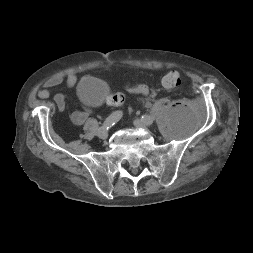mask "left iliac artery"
I'll use <instances>...</instances> for the list:
<instances>
[{
	"instance_id": "left-iliac-artery-1",
	"label": "left iliac artery",
	"mask_w": 253,
	"mask_h": 253,
	"mask_svg": "<svg viewBox=\"0 0 253 253\" xmlns=\"http://www.w3.org/2000/svg\"><path fill=\"white\" fill-rule=\"evenodd\" d=\"M141 120H143L148 125H152L153 124V121L150 122V116L149 115H143L141 117Z\"/></svg>"
}]
</instances>
